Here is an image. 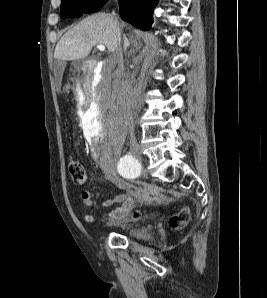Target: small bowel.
Segmentation results:
<instances>
[{
	"mask_svg": "<svg viewBox=\"0 0 267 298\" xmlns=\"http://www.w3.org/2000/svg\"><path fill=\"white\" fill-rule=\"evenodd\" d=\"M110 180L116 186L126 189L127 193H121L113 198L106 199L103 202L104 207H110L116 203L120 206L112 209L107 214L104 215V219L113 224H123L127 220V215L131 210L135 202V196L137 194V189L127 185V183L116 175H110ZM82 201L86 206H93V201L89 192L84 191L81 194ZM84 221L87 223H93L95 218L91 215H84Z\"/></svg>",
	"mask_w": 267,
	"mask_h": 298,
	"instance_id": "obj_1",
	"label": "small bowel"
}]
</instances>
